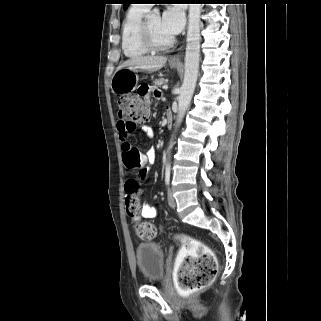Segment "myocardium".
Here are the masks:
<instances>
[{"instance_id": "1", "label": "myocardium", "mask_w": 321, "mask_h": 321, "mask_svg": "<svg viewBox=\"0 0 321 321\" xmlns=\"http://www.w3.org/2000/svg\"><path fill=\"white\" fill-rule=\"evenodd\" d=\"M149 16L150 15H146L141 22L139 36L142 44L150 51H163L171 48L175 43L174 37L165 43H158L155 41L149 27Z\"/></svg>"}]
</instances>
